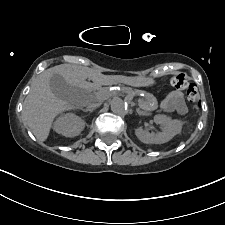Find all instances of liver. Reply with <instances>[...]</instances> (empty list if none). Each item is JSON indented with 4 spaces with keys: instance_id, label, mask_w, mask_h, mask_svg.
<instances>
[{
    "instance_id": "liver-1",
    "label": "liver",
    "mask_w": 225,
    "mask_h": 225,
    "mask_svg": "<svg viewBox=\"0 0 225 225\" xmlns=\"http://www.w3.org/2000/svg\"><path fill=\"white\" fill-rule=\"evenodd\" d=\"M53 74H60L68 84L85 91L92 87L114 83V77L100 74L80 65L61 64L41 73L33 81L31 90L23 103V117L26 125L41 142L48 138L53 120L57 115L82 107H74L53 94L49 84ZM87 78L94 83L87 82Z\"/></svg>"
}]
</instances>
